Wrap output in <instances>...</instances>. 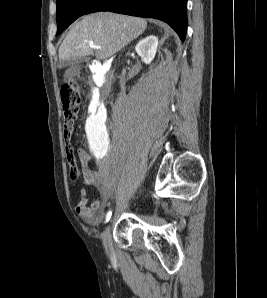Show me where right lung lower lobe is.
Here are the masks:
<instances>
[{"mask_svg": "<svg viewBox=\"0 0 267 298\" xmlns=\"http://www.w3.org/2000/svg\"><path fill=\"white\" fill-rule=\"evenodd\" d=\"M187 0H101L91 12L111 11L131 16L155 18L169 24L185 40Z\"/></svg>", "mask_w": 267, "mask_h": 298, "instance_id": "98d812e1", "label": "right lung lower lobe"}]
</instances>
